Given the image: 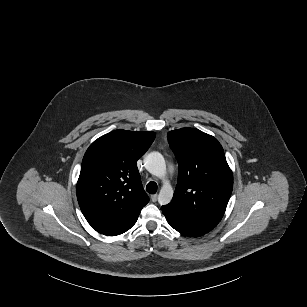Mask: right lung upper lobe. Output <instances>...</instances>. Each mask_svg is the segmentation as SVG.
Here are the masks:
<instances>
[{"label":"right lung upper lobe","instance_id":"right-lung-upper-lobe-1","mask_svg":"<svg viewBox=\"0 0 307 307\" xmlns=\"http://www.w3.org/2000/svg\"><path fill=\"white\" fill-rule=\"evenodd\" d=\"M154 139V132L120 129L101 136L87 149L77 199L86 220L99 233L116 234L149 202L136 162Z\"/></svg>","mask_w":307,"mask_h":307}]
</instances>
